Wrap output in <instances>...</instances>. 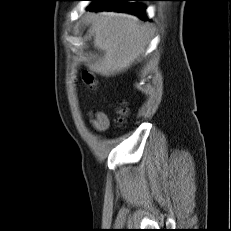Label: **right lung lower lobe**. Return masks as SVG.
Here are the masks:
<instances>
[{
	"instance_id": "1",
	"label": "right lung lower lobe",
	"mask_w": 231,
	"mask_h": 231,
	"mask_svg": "<svg viewBox=\"0 0 231 231\" xmlns=\"http://www.w3.org/2000/svg\"><path fill=\"white\" fill-rule=\"evenodd\" d=\"M93 3L87 8L91 11L98 10H115V11H123L138 15L141 18H144V7L137 4H126L127 1H142V0H89Z\"/></svg>"
}]
</instances>
